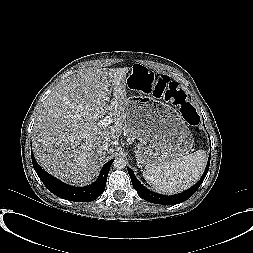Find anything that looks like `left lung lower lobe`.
Wrapping results in <instances>:
<instances>
[{
    "label": "left lung lower lobe",
    "mask_w": 253,
    "mask_h": 253,
    "mask_svg": "<svg viewBox=\"0 0 253 253\" xmlns=\"http://www.w3.org/2000/svg\"><path fill=\"white\" fill-rule=\"evenodd\" d=\"M209 164H210V157H209L207 166L205 168V171H204L201 179L190 189H188L182 193L172 195V196H165V195L154 193V192L148 190L137 180L133 171L130 168H128V173L131 177V181H132L134 189L137 191L138 195L141 198H143L144 200L151 202V203L162 204V205H175V204H179V203L186 201L196 192V190L202 184V182L208 172Z\"/></svg>",
    "instance_id": "obj_1"
}]
</instances>
